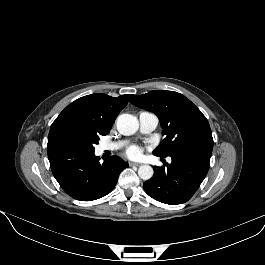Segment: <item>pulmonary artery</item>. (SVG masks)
I'll return each mask as SVG.
<instances>
[{"label":"pulmonary artery","instance_id":"pulmonary-artery-1","mask_svg":"<svg viewBox=\"0 0 265 265\" xmlns=\"http://www.w3.org/2000/svg\"><path fill=\"white\" fill-rule=\"evenodd\" d=\"M158 120L152 113L143 112L138 115L139 129L142 134L151 133L157 126ZM124 142H117L112 144L102 145L103 150H114L118 149L123 145Z\"/></svg>","mask_w":265,"mask_h":265}]
</instances>
